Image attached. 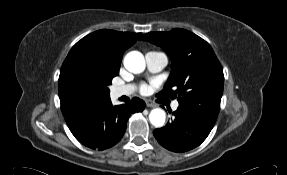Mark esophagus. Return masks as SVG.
<instances>
[{
    "instance_id": "esophagus-1",
    "label": "esophagus",
    "mask_w": 287,
    "mask_h": 175,
    "mask_svg": "<svg viewBox=\"0 0 287 175\" xmlns=\"http://www.w3.org/2000/svg\"><path fill=\"white\" fill-rule=\"evenodd\" d=\"M146 105L147 107H150V108L156 107V104L151 100H146Z\"/></svg>"
}]
</instances>
